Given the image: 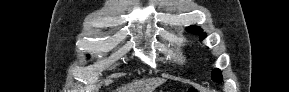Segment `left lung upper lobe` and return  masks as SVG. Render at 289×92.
Here are the masks:
<instances>
[{"label": "left lung upper lobe", "instance_id": "1", "mask_svg": "<svg viewBox=\"0 0 289 92\" xmlns=\"http://www.w3.org/2000/svg\"><path fill=\"white\" fill-rule=\"evenodd\" d=\"M186 30L192 34H198L200 40H203L206 37V33H204L200 27H196L195 25L187 27ZM212 80L215 82H221L223 80L219 69H214L212 71Z\"/></svg>", "mask_w": 289, "mask_h": 92}]
</instances>
